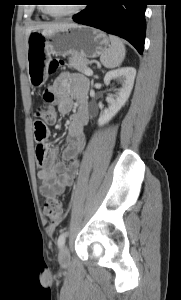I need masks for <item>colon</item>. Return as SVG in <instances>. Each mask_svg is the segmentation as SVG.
Returning <instances> with one entry per match:
<instances>
[{
  "label": "colon",
  "instance_id": "obj_1",
  "mask_svg": "<svg viewBox=\"0 0 181 300\" xmlns=\"http://www.w3.org/2000/svg\"><path fill=\"white\" fill-rule=\"evenodd\" d=\"M64 65L62 59H54L49 65V74H54L59 68ZM44 99L46 103L44 105L37 106L35 109V115L39 119L34 125L35 140L37 146L43 145L48 137L47 123L53 122L57 117L56 109L54 108L52 94L45 93ZM44 213L47 219L52 224H57L63 221L65 213L62 209V204L59 198L51 196L46 198L44 202Z\"/></svg>",
  "mask_w": 181,
  "mask_h": 300
}]
</instances>
